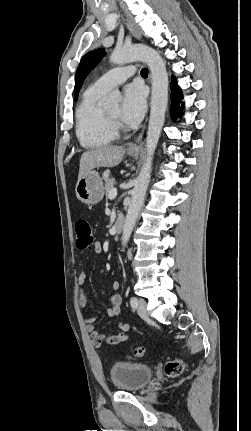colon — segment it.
I'll list each match as a JSON object with an SVG mask.
<instances>
[{
    "mask_svg": "<svg viewBox=\"0 0 251 431\" xmlns=\"http://www.w3.org/2000/svg\"><path fill=\"white\" fill-rule=\"evenodd\" d=\"M76 246L80 250L89 248L94 242V234L90 223L80 219L75 223ZM145 354L144 347H137L133 350L131 358H141ZM184 369V364L180 359H172L165 363L164 371L169 377L179 376Z\"/></svg>",
    "mask_w": 251,
    "mask_h": 431,
    "instance_id": "1",
    "label": "colon"
}]
</instances>
